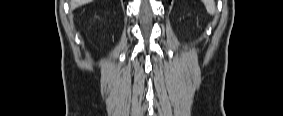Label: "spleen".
Segmentation results:
<instances>
[{"mask_svg":"<svg viewBox=\"0 0 283 116\" xmlns=\"http://www.w3.org/2000/svg\"><path fill=\"white\" fill-rule=\"evenodd\" d=\"M205 7L209 14L213 15L215 13V4L213 0H207L205 2Z\"/></svg>","mask_w":283,"mask_h":116,"instance_id":"spleen-1","label":"spleen"}]
</instances>
